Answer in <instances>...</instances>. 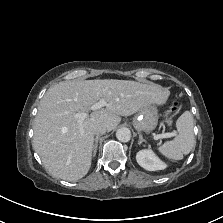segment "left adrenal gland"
Listing matches in <instances>:
<instances>
[{"label":"left adrenal gland","instance_id":"1","mask_svg":"<svg viewBox=\"0 0 223 223\" xmlns=\"http://www.w3.org/2000/svg\"><path fill=\"white\" fill-rule=\"evenodd\" d=\"M143 142H146V140L142 137L141 134H139V142H138V144H142Z\"/></svg>","mask_w":223,"mask_h":223}]
</instances>
